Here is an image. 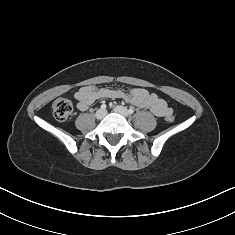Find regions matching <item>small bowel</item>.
Segmentation results:
<instances>
[{
    "instance_id": "obj_1",
    "label": "small bowel",
    "mask_w": 235,
    "mask_h": 235,
    "mask_svg": "<svg viewBox=\"0 0 235 235\" xmlns=\"http://www.w3.org/2000/svg\"><path fill=\"white\" fill-rule=\"evenodd\" d=\"M77 108L80 111L87 110L93 103L104 98H123L130 103L150 110L158 117H165L173 113L166 101L154 93H149L143 88H134L126 93L119 89L96 88L94 86L81 87L74 95Z\"/></svg>"
}]
</instances>
